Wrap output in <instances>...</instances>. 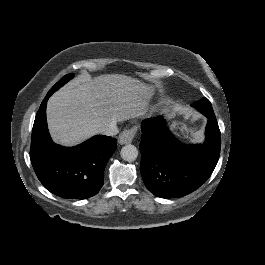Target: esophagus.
<instances>
[{
	"label": "esophagus",
	"instance_id": "esophagus-1",
	"mask_svg": "<svg viewBox=\"0 0 265 265\" xmlns=\"http://www.w3.org/2000/svg\"><path fill=\"white\" fill-rule=\"evenodd\" d=\"M136 131H137V128L135 126L130 129L124 130L119 135V138H118L119 143L122 145L131 143L136 134Z\"/></svg>",
	"mask_w": 265,
	"mask_h": 265
}]
</instances>
